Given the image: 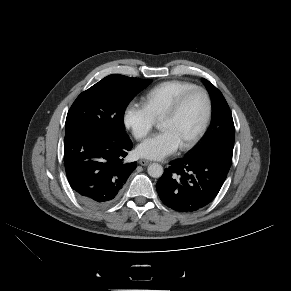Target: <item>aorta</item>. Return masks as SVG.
Returning <instances> with one entry per match:
<instances>
[{
  "instance_id": "1",
  "label": "aorta",
  "mask_w": 291,
  "mask_h": 291,
  "mask_svg": "<svg viewBox=\"0 0 291 291\" xmlns=\"http://www.w3.org/2000/svg\"><path fill=\"white\" fill-rule=\"evenodd\" d=\"M148 174L153 178H159L163 174V167L158 163H152L148 166Z\"/></svg>"
}]
</instances>
